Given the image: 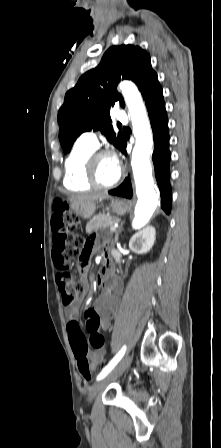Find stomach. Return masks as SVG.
Listing matches in <instances>:
<instances>
[{
  "instance_id": "stomach-1",
  "label": "stomach",
  "mask_w": 221,
  "mask_h": 448,
  "mask_svg": "<svg viewBox=\"0 0 221 448\" xmlns=\"http://www.w3.org/2000/svg\"><path fill=\"white\" fill-rule=\"evenodd\" d=\"M108 199H110V207L112 209V211L114 213H116L117 215H123L125 214L129 208L130 205L127 201L122 200V199H113L111 197H109ZM71 207L74 209V211L82 218L84 219H88L90 218L94 211H95V203H91L85 206H74L71 205Z\"/></svg>"
}]
</instances>
